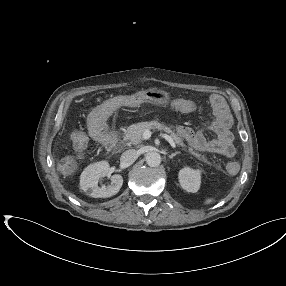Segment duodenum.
<instances>
[{
	"instance_id": "duodenum-1",
	"label": "duodenum",
	"mask_w": 286,
	"mask_h": 286,
	"mask_svg": "<svg viewBox=\"0 0 286 286\" xmlns=\"http://www.w3.org/2000/svg\"><path fill=\"white\" fill-rule=\"evenodd\" d=\"M106 128H107V126H106L105 122L103 120H99L97 123V131L100 134V136H103L106 134ZM115 145H116V140L113 138H110L108 140L109 148L112 150V149H114Z\"/></svg>"
}]
</instances>
